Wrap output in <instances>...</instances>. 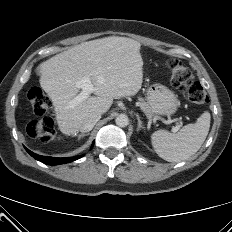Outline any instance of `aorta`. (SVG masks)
Wrapping results in <instances>:
<instances>
[{
	"label": "aorta",
	"mask_w": 232,
	"mask_h": 232,
	"mask_svg": "<svg viewBox=\"0 0 232 232\" xmlns=\"http://www.w3.org/2000/svg\"><path fill=\"white\" fill-rule=\"evenodd\" d=\"M116 125L126 127L129 124V119L125 114H120L115 119Z\"/></svg>",
	"instance_id": "762f6f07"
}]
</instances>
